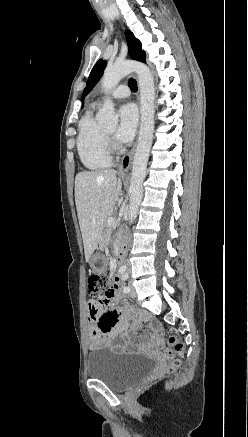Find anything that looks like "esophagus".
<instances>
[{"instance_id":"esophagus-1","label":"esophagus","mask_w":248,"mask_h":437,"mask_svg":"<svg viewBox=\"0 0 248 437\" xmlns=\"http://www.w3.org/2000/svg\"><path fill=\"white\" fill-rule=\"evenodd\" d=\"M137 99L138 102H140V93L139 91L137 92ZM136 150V142L134 143L133 147L131 148V150L129 152H127L121 159L119 167H118V172L120 174H125L131 167L132 165V160H133V156Z\"/></svg>"}]
</instances>
